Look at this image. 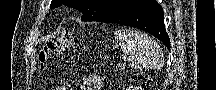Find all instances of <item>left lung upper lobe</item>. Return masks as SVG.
<instances>
[{
    "instance_id": "left-lung-upper-lobe-1",
    "label": "left lung upper lobe",
    "mask_w": 216,
    "mask_h": 90,
    "mask_svg": "<svg viewBox=\"0 0 216 90\" xmlns=\"http://www.w3.org/2000/svg\"><path fill=\"white\" fill-rule=\"evenodd\" d=\"M128 0H52L51 8L62 4L73 7L83 13L82 21H94L102 14L122 6Z\"/></svg>"
}]
</instances>
